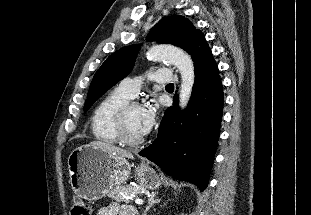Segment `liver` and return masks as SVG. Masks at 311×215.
<instances>
[{
	"instance_id": "6515ba94",
	"label": "liver",
	"mask_w": 311,
	"mask_h": 215,
	"mask_svg": "<svg viewBox=\"0 0 311 215\" xmlns=\"http://www.w3.org/2000/svg\"><path fill=\"white\" fill-rule=\"evenodd\" d=\"M91 146L100 148L102 150H104L105 152H107L108 154H110L111 156H119L122 158H128V159H133V155L128 152L127 150L121 149L117 146H114L112 144L106 143V142H102V141H92L90 142Z\"/></svg>"
}]
</instances>
